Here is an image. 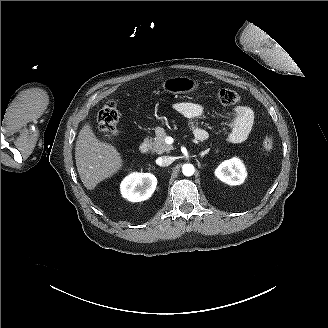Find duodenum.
I'll list each match as a JSON object with an SVG mask.
<instances>
[{
    "mask_svg": "<svg viewBox=\"0 0 328 328\" xmlns=\"http://www.w3.org/2000/svg\"><path fill=\"white\" fill-rule=\"evenodd\" d=\"M197 140H204L205 137L204 136H200L196 138ZM150 148V140L148 138L144 139L140 146H139V151L143 154L147 153L149 151Z\"/></svg>",
    "mask_w": 328,
    "mask_h": 328,
    "instance_id": "410a0bca",
    "label": "duodenum"
}]
</instances>
